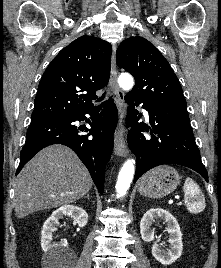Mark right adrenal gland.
I'll list each match as a JSON object with an SVG mask.
<instances>
[{
	"mask_svg": "<svg viewBox=\"0 0 221 268\" xmlns=\"http://www.w3.org/2000/svg\"><path fill=\"white\" fill-rule=\"evenodd\" d=\"M84 198L90 199V195H89V193H87V195L84 196Z\"/></svg>",
	"mask_w": 221,
	"mask_h": 268,
	"instance_id": "obj_1",
	"label": "right adrenal gland"
}]
</instances>
